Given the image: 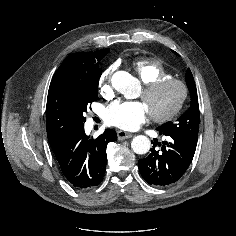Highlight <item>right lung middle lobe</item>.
Segmentation results:
<instances>
[{
	"instance_id": "dd1d6c3e",
	"label": "right lung middle lobe",
	"mask_w": 236,
	"mask_h": 236,
	"mask_svg": "<svg viewBox=\"0 0 236 236\" xmlns=\"http://www.w3.org/2000/svg\"><path fill=\"white\" fill-rule=\"evenodd\" d=\"M108 52L109 49L98 50L84 59L80 64L78 77L71 85L69 99L76 127L84 126L86 120L84 113L88 106L97 100L98 83L102 72L98 62Z\"/></svg>"
}]
</instances>
